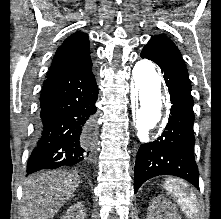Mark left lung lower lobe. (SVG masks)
<instances>
[{"label": "left lung lower lobe", "mask_w": 221, "mask_h": 219, "mask_svg": "<svg viewBox=\"0 0 221 219\" xmlns=\"http://www.w3.org/2000/svg\"><path fill=\"white\" fill-rule=\"evenodd\" d=\"M141 57L155 62L164 73L172 103L169 121L154 142L140 146L135 163V193L148 179L158 175L183 178L199 188L194 158V114L191 84L184 63L165 52L144 47Z\"/></svg>", "instance_id": "1"}]
</instances>
